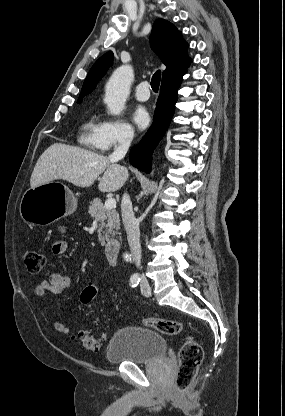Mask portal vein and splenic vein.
<instances>
[{"label": "portal vein and splenic vein", "mask_w": 285, "mask_h": 416, "mask_svg": "<svg viewBox=\"0 0 285 416\" xmlns=\"http://www.w3.org/2000/svg\"><path fill=\"white\" fill-rule=\"evenodd\" d=\"M105 210H112V208H116V200L114 198H108L104 204Z\"/></svg>", "instance_id": "1"}]
</instances>
